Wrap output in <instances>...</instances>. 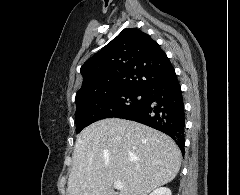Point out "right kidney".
<instances>
[{"label": "right kidney", "mask_w": 240, "mask_h": 195, "mask_svg": "<svg viewBox=\"0 0 240 195\" xmlns=\"http://www.w3.org/2000/svg\"><path fill=\"white\" fill-rule=\"evenodd\" d=\"M149 195H172V193L169 187H157V189H154V191H151Z\"/></svg>", "instance_id": "ca27d5eb"}]
</instances>
